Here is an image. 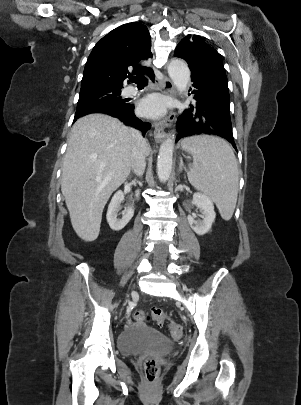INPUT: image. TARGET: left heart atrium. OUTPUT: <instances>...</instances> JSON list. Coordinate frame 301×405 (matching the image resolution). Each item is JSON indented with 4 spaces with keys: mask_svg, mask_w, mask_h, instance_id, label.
Here are the masks:
<instances>
[{
    "mask_svg": "<svg viewBox=\"0 0 301 405\" xmlns=\"http://www.w3.org/2000/svg\"><path fill=\"white\" fill-rule=\"evenodd\" d=\"M138 111L143 116L158 118L165 113L166 102L157 95H150L140 102Z\"/></svg>",
    "mask_w": 301,
    "mask_h": 405,
    "instance_id": "39dd6f15",
    "label": "left heart atrium"
}]
</instances>
